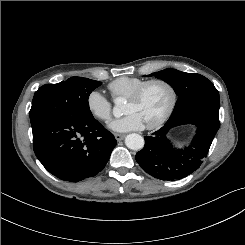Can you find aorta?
<instances>
[{
    "mask_svg": "<svg viewBox=\"0 0 245 245\" xmlns=\"http://www.w3.org/2000/svg\"><path fill=\"white\" fill-rule=\"evenodd\" d=\"M116 106L113 108V114L115 117H120L122 115L120 110L121 100L117 99L115 101ZM126 146L131 150H141L144 147V138L136 133H132L125 138Z\"/></svg>",
    "mask_w": 245,
    "mask_h": 245,
    "instance_id": "obj_1",
    "label": "aorta"
}]
</instances>
